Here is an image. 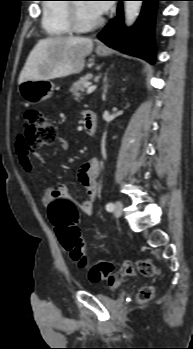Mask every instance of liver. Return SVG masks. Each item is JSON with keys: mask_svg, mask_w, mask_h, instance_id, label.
I'll return each mask as SVG.
<instances>
[{"mask_svg": "<svg viewBox=\"0 0 193 349\" xmlns=\"http://www.w3.org/2000/svg\"><path fill=\"white\" fill-rule=\"evenodd\" d=\"M93 41L83 37H48L41 39L30 52L18 84L26 80H50L79 73Z\"/></svg>", "mask_w": 193, "mask_h": 349, "instance_id": "6515ba94", "label": "liver"}]
</instances>
